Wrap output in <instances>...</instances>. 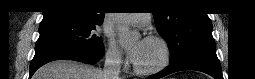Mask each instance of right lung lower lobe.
<instances>
[{
  "label": "right lung lower lobe",
  "mask_w": 255,
  "mask_h": 79,
  "mask_svg": "<svg viewBox=\"0 0 255 79\" xmlns=\"http://www.w3.org/2000/svg\"><path fill=\"white\" fill-rule=\"evenodd\" d=\"M104 54V49L99 52H91L87 50H73L65 48H51L35 52V56L30 65V75L32 77L34 72L42 65L60 59H68L80 61L87 64H94L99 61Z\"/></svg>",
  "instance_id": "1"
}]
</instances>
